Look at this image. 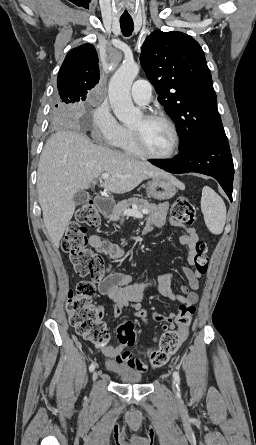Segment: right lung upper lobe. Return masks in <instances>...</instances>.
<instances>
[{"instance_id":"1","label":"right lung upper lobe","mask_w":256,"mask_h":445,"mask_svg":"<svg viewBox=\"0 0 256 445\" xmlns=\"http://www.w3.org/2000/svg\"><path fill=\"white\" fill-rule=\"evenodd\" d=\"M99 82L98 55L91 44H83L67 54L57 77L59 93L69 91L86 99L87 91Z\"/></svg>"}]
</instances>
